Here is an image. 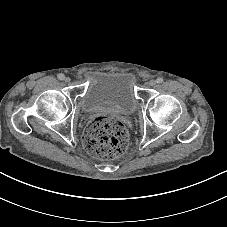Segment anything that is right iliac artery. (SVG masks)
Here are the masks:
<instances>
[{
	"label": "right iliac artery",
	"mask_w": 227,
	"mask_h": 227,
	"mask_svg": "<svg viewBox=\"0 0 227 227\" xmlns=\"http://www.w3.org/2000/svg\"><path fill=\"white\" fill-rule=\"evenodd\" d=\"M59 80H63L65 78L64 74L60 73L57 75Z\"/></svg>",
	"instance_id": "obj_1"
}]
</instances>
